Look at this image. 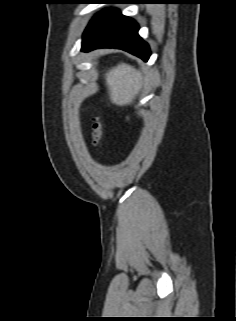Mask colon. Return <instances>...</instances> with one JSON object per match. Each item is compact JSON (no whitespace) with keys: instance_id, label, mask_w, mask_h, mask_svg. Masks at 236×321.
Here are the masks:
<instances>
[{"instance_id":"colon-1","label":"colon","mask_w":236,"mask_h":321,"mask_svg":"<svg viewBox=\"0 0 236 321\" xmlns=\"http://www.w3.org/2000/svg\"><path fill=\"white\" fill-rule=\"evenodd\" d=\"M103 138V125L99 118L92 120V143L94 147H98Z\"/></svg>"}]
</instances>
